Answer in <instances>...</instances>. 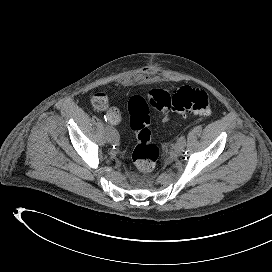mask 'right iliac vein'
Here are the masks:
<instances>
[{
	"mask_svg": "<svg viewBox=\"0 0 272 272\" xmlns=\"http://www.w3.org/2000/svg\"><path fill=\"white\" fill-rule=\"evenodd\" d=\"M106 139H107V141H108L109 143L116 144V143L119 141V136H118V134H117L116 137H114V138L111 137L110 134H109V132H108V129H107V127H106Z\"/></svg>",
	"mask_w": 272,
	"mask_h": 272,
	"instance_id": "obj_1",
	"label": "right iliac vein"
}]
</instances>
